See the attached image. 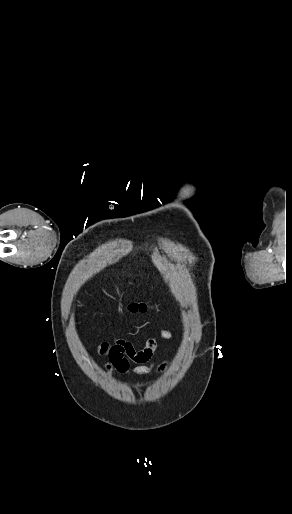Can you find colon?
Instances as JSON below:
<instances>
[{
    "instance_id": "1",
    "label": "colon",
    "mask_w": 292,
    "mask_h": 514,
    "mask_svg": "<svg viewBox=\"0 0 292 514\" xmlns=\"http://www.w3.org/2000/svg\"><path fill=\"white\" fill-rule=\"evenodd\" d=\"M129 310L133 313H142L148 310V306L143 302H132L129 305Z\"/></svg>"
}]
</instances>
